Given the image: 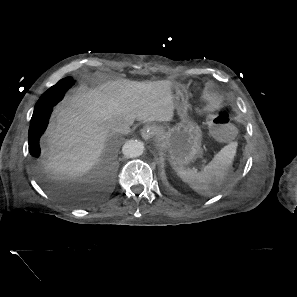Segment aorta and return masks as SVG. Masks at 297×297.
I'll list each match as a JSON object with an SVG mask.
<instances>
[{"label": "aorta", "instance_id": "762f6f07", "mask_svg": "<svg viewBox=\"0 0 297 297\" xmlns=\"http://www.w3.org/2000/svg\"><path fill=\"white\" fill-rule=\"evenodd\" d=\"M144 152V144L140 140H128L122 147V153L128 157H138Z\"/></svg>", "mask_w": 297, "mask_h": 297}]
</instances>
